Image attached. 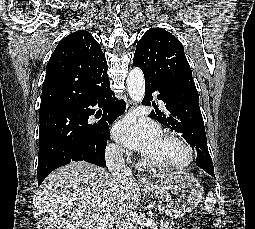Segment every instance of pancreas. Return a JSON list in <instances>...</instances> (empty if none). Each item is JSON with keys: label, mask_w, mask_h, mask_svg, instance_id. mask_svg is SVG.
<instances>
[{"label": "pancreas", "mask_w": 255, "mask_h": 229, "mask_svg": "<svg viewBox=\"0 0 255 229\" xmlns=\"http://www.w3.org/2000/svg\"><path fill=\"white\" fill-rule=\"evenodd\" d=\"M160 229H174L173 225L169 222H163V224L160 226Z\"/></svg>", "instance_id": "obj_1"}]
</instances>
